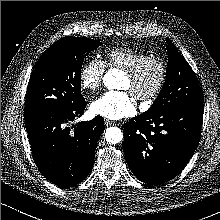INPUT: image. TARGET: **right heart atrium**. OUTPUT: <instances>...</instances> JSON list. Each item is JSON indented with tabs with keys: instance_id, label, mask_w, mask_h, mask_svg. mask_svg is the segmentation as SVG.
<instances>
[{
	"instance_id": "obj_1",
	"label": "right heart atrium",
	"mask_w": 220,
	"mask_h": 220,
	"mask_svg": "<svg viewBox=\"0 0 220 220\" xmlns=\"http://www.w3.org/2000/svg\"><path fill=\"white\" fill-rule=\"evenodd\" d=\"M105 63L98 58L89 59L79 72V84L83 91L93 93L100 89Z\"/></svg>"
}]
</instances>
